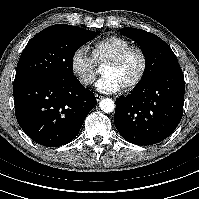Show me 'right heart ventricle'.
I'll use <instances>...</instances> for the list:
<instances>
[{"instance_id": "obj_1", "label": "right heart ventricle", "mask_w": 199, "mask_h": 199, "mask_svg": "<svg viewBox=\"0 0 199 199\" xmlns=\"http://www.w3.org/2000/svg\"><path fill=\"white\" fill-rule=\"evenodd\" d=\"M132 43L123 37L110 36L95 42L92 46V57L99 67L105 66L119 52Z\"/></svg>"}]
</instances>
